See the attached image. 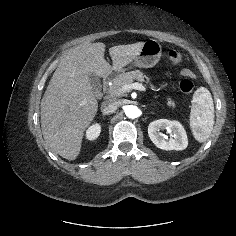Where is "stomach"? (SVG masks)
Masks as SVG:
<instances>
[{"label": "stomach", "instance_id": "0dacf381", "mask_svg": "<svg viewBox=\"0 0 236 236\" xmlns=\"http://www.w3.org/2000/svg\"><path fill=\"white\" fill-rule=\"evenodd\" d=\"M162 55V47L155 39L144 42L140 53L134 58L133 65L139 68L155 66Z\"/></svg>", "mask_w": 236, "mask_h": 236}]
</instances>
